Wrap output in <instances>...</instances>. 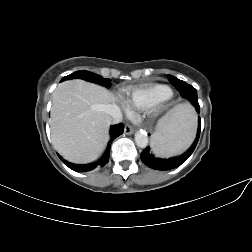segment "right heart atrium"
<instances>
[{"mask_svg":"<svg viewBox=\"0 0 252 252\" xmlns=\"http://www.w3.org/2000/svg\"><path fill=\"white\" fill-rule=\"evenodd\" d=\"M122 107H123V109L125 110V112L128 113L129 107H128L125 103H123Z\"/></svg>","mask_w":252,"mask_h":252,"instance_id":"right-heart-atrium-1","label":"right heart atrium"}]
</instances>
